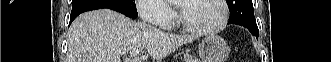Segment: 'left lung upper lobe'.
I'll return each mask as SVG.
<instances>
[{"mask_svg": "<svg viewBox=\"0 0 331 62\" xmlns=\"http://www.w3.org/2000/svg\"><path fill=\"white\" fill-rule=\"evenodd\" d=\"M230 9L228 24H237L251 30L258 37V27L253 13L252 0H227Z\"/></svg>", "mask_w": 331, "mask_h": 62, "instance_id": "left-lung-upper-lobe-1", "label": "left lung upper lobe"}]
</instances>
